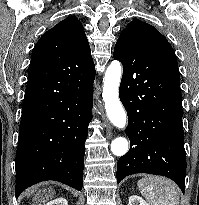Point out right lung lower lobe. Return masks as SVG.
<instances>
[{"label": "right lung lower lobe", "instance_id": "1", "mask_svg": "<svg viewBox=\"0 0 199 205\" xmlns=\"http://www.w3.org/2000/svg\"><path fill=\"white\" fill-rule=\"evenodd\" d=\"M94 78L74 81L65 94L22 114L15 158L16 198L46 180L82 189ZM47 88L43 83L27 84L25 96Z\"/></svg>", "mask_w": 199, "mask_h": 205}]
</instances>
